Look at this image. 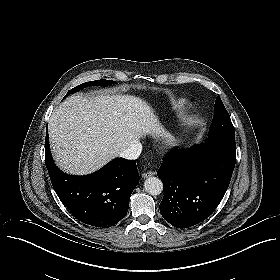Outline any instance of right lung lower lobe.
<instances>
[{"instance_id": "obj_1", "label": "right lung lower lobe", "mask_w": 280, "mask_h": 280, "mask_svg": "<svg viewBox=\"0 0 280 280\" xmlns=\"http://www.w3.org/2000/svg\"><path fill=\"white\" fill-rule=\"evenodd\" d=\"M45 164L59 199L81 222L108 228L127 214L131 193L139 183L135 160L117 158L93 174L67 175L52 159L47 128Z\"/></svg>"}]
</instances>
